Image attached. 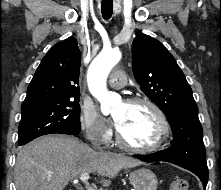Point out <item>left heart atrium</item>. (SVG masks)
Returning <instances> with one entry per match:
<instances>
[{"instance_id":"left-heart-atrium-1","label":"left heart atrium","mask_w":221,"mask_h":190,"mask_svg":"<svg viewBox=\"0 0 221 190\" xmlns=\"http://www.w3.org/2000/svg\"><path fill=\"white\" fill-rule=\"evenodd\" d=\"M115 125L117 126V128L119 127V125H120V120L119 119L115 120Z\"/></svg>"}]
</instances>
